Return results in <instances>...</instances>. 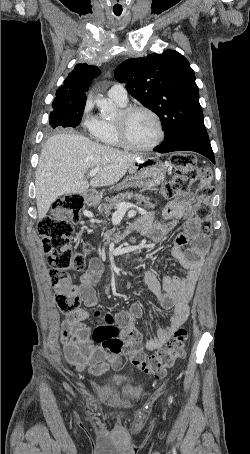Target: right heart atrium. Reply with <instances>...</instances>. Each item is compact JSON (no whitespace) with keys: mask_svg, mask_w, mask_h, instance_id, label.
<instances>
[{"mask_svg":"<svg viewBox=\"0 0 250 454\" xmlns=\"http://www.w3.org/2000/svg\"><path fill=\"white\" fill-rule=\"evenodd\" d=\"M82 124L89 132H91L96 127V116H93L91 114V105L89 102H87L84 107Z\"/></svg>","mask_w":250,"mask_h":454,"instance_id":"right-heart-atrium-1","label":"right heart atrium"}]
</instances>
